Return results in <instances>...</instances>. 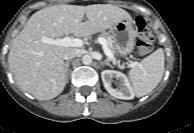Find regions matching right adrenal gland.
<instances>
[{
  "instance_id": "right-adrenal-gland-1",
  "label": "right adrenal gland",
  "mask_w": 194,
  "mask_h": 133,
  "mask_svg": "<svg viewBox=\"0 0 194 133\" xmlns=\"http://www.w3.org/2000/svg\"><path fill=\"white\" fill-rule=\"evenodd\" d=\"M69 64L70 61L65 62V72H66V79L68 80V75H69Z\"/></svg>"
}]
</instances>
